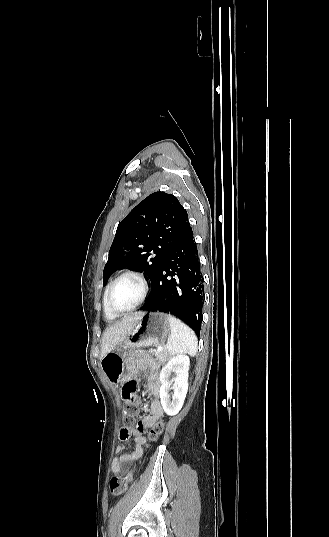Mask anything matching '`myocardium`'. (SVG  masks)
<instances>
[{"label":"myocardium","mask_w":329,"mask_h":537,"mask_svg":"<svg viewBox=\"0 0 329 537\" xmlns=\"http://www.w3.org/2000/svg\"><path fill=\"white\" fill-rule=\"evenodd\" d=\"M125 277H134V278H136L140 282V284L142 286V294H141L140 299L131 308L126 309V310H117L112 305V300H111L112 299V293H113V290L116 287V285ZM148 291H149V283H148L147 278L144 276V274L139 272V271H136V270H127V271L122 272L120 275H118L112 281V283L110 284L109 289L107 291L106 303H107V306H108L109 310L112 313H114L116 315L126 314V313H128L130 311H133L134 309H136L138 306H140L144 302V300L147 297Z\"/></svg>","instance_id":"myocardium-1"}]
</instances>
